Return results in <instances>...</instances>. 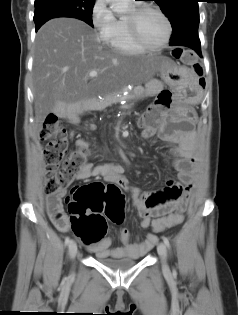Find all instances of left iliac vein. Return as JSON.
<instances>
[{
  "label": "left iliac vein",
  "instance_id": "1",
  "mask_svg": "<svg viewBox=\"0 0 238 315\" xmlns=\"http://www.w3.org/2000/svg\"><path fill=\"white\" fill-rule=\"evenodd\" d=\"M158 253L161 257V261H162V268L165 272L169 271V267L166 261V257H167V249L164 243H159L158 247H157Z\"/></svg>",
  "mask_w": 238,
  "mask_h": 315
}]
</instances>
